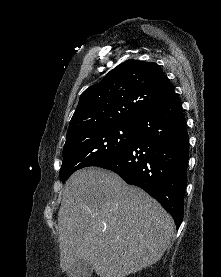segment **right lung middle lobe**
I'll use <instances>...</instances> for the list:
<instances>
[{"mask_svg": "<svg viewBox=\"0 0 221 277\" xmlns=\"http://www.w3.org/2000/svg\"><path fill=\"white\" fill-rule=\"evenodd\" d=\"M135 124L96 126L66 139L60 178L64 183L78 169L96 166L120 155L130 146Z\"/></svg>", "mask_w": 221, "mask_h": 277, "instance_id": "1", "label": "right lung middle lobe"}]
</instances>
